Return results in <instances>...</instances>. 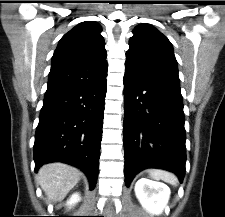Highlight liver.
Returning a JSON list of instances; mask_svg holds the SVG:
<instances>
[{
	"label": "liver",
	"instance_id": "6515ba94",
	"mask_svg": "<svg viewBox=\"0 0 225 217\" xmlns=\"http://www.w3.org/2000/svg\"><path fill=\"white\" fill-rule=\"evenodd\" d=\"M80 177L81 172L77 168L55 162L43 165L37 180L50 202H61Z\"/></svg>",
	"mask_w": 225,
	"mask_h": 217
}]
</instances>
